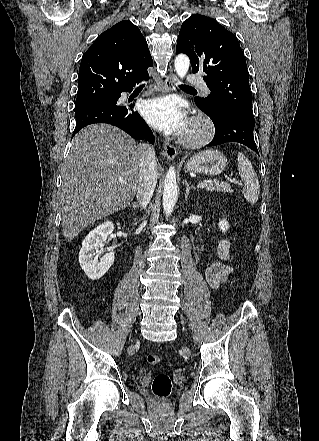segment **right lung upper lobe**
<instances>
[{
  "instance_id": "cb5924a9",
  "label": "right lung upper lobe",
  "mask_w": 319,
  "mask_h": 441,
  "mask_svg": "<svg viewBox=\"0 0 319 441\" xmlns=\"http://www.w3.org/2000/svg\"><path fill=\"white\" fill-rule=\"evenodd\" d=\"M153 61L145 38L130 21L102 33L84 53L76 102L115 97L148 76Z\"/></svg>"
}]
</instances>
